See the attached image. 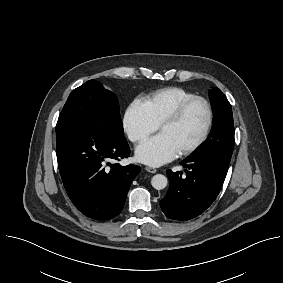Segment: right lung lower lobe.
Here are the masks:
<instances>
[{
  "label": "right lung lower lobe",
  "instance_id": "98d812e1",
  "mask_svg": "<svg viewBox=\"0 0 283 283\" xmlns=\"http://www.w3.org/2000/svg\"><path fill=\"white\" fill-rule=\"evenodd\" d=\"M56 154L65 190L80 212L96 220L120 213L140 172L139 166L112 164L130 154L125 137L99 124H85L57 138Z\"/></svg>",
  "mask_w": 283,
  "mask_h": 283
}]
</instances>
